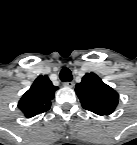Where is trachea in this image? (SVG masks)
Listing matches in <instances>:
<instances>
[{
    "mask_svg": "<svg viewBox=\"0 0 137 145\" xmlns=\"http://www.w3.org/2000/svg\"><path fill=\"white\" fill-rule=\"evenodd\" d=\"M59 77H60V80L62 82L71 81L72 80V72L68 68H63L60 71Z\"/></svg>",
    "mask_w": 137,
    "mask_h": 145,
    "instance_id": "obj_1",
    "label": "trachea"
}]
</instances>
